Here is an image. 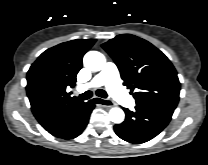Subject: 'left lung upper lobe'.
<instances>
[{
	"label": "left lung upper lobe",
	"instance_id": "left-lung-upper-lobe-1",
	"mask_svg": "<svg viewBox=\"0 0 208 165\" xmlns=\"http://www.w3.org/2000/svg\"><path fill=\"white\" fill-rule=\"evenodd\" d=\"M102 47L116 63L124 85L132 91L136 106L175 110L180 82L170 60L148 41L121 34Z\"/></svg>",
	"mask_w": 208,
	"mask_h": 165
}]
</instances>
